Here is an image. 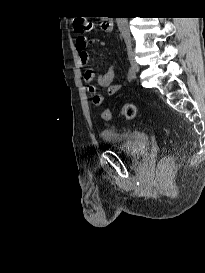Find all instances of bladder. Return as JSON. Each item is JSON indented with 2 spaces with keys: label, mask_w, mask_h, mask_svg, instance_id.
<instances>
[{
  "label": "bladder",
  "mask_w": 205,
  "mask_h": 273,
  "mask_svg": "<svg viewBox=\"0 0 205 273\" xmlns=\"http://www.w3.org/2000/svg\"><path fill=\"white\" fill-rule=\"evenodd\" d=\"M101 137L105 144L124 157L136 158L149 151L150 138L142 130L126 129L106 125L101 130Z\"/></svg>",
  "instance_id": "bladder-1"
}]
</instances>
